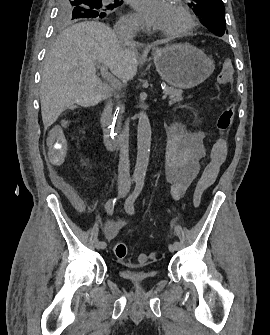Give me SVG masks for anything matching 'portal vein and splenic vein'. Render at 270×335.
<instances>
[{
  "mask_svg": "<svg viewBox=\"0 0 270 335\" xmlns=\"http://www.w3.org/2000/svg\"><path fill=\"white\" fill-rule=\"evenodd\" d=\"M93 65L95 67H98V69L100 70L99 75L101 76V79L103 81H105V83L107 85H110L112 88H116L119 89L120 83L118 82V80L116 78H114V76L112 74H110V72L107 70L106 66H105V62L102 60H95L93 62ZM165 92V90H164ZM162 100H166L167 99V95L166 93H163L162 96Z\"/></svg>",
  "mask_w": 270,
  "mask_h": 335,
  "instance_id": "obj_1",
  "label": "portal vein and splenic vein"
}]
</instances>
